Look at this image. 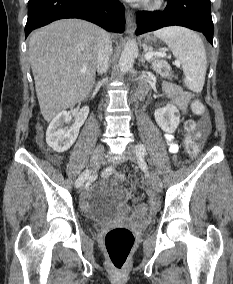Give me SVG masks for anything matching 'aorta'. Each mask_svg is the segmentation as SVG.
Instances as JSON below:
<instances>
[{
    "label": "aorta",
    "mask_w": 233,
    "mask_h": 284,
    "mask_svg": "<svg viewBox=\"0 0 233 284\" xmlns=\"http://www.w3.org/2000/svg\"><path fill=\"white\" fill-rule=\"evenodd\" d=\"M138 56V45L137 42L129 40L122 51L119 59V68L122 73L128 72L132 67L133 63Z\"/></svg>",
    "instance_id": "762f6f07"
}]
</instances>
